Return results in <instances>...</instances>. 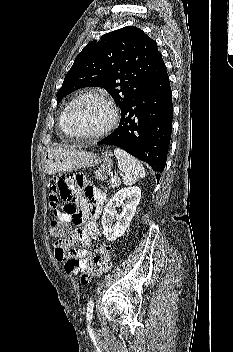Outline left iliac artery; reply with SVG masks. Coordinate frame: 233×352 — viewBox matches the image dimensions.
<instances>
[{"instance_id": "1", "label": "left iliac artery", "mask_w": 233, "mask_h": 352, "mask_svg": "<svg viewBox=\"0 0 233 352\" xmlns=\"http://www.w3.org/2000/svg\"><path fill=\"white\" fill-rule=\"evenodd\" d=\"M93 307H94V301L91 299L89 302H88V305H87V313H86V317H87V320L88 321H91L92 320V316H93Z\"/></svg>"}]
</instances>
